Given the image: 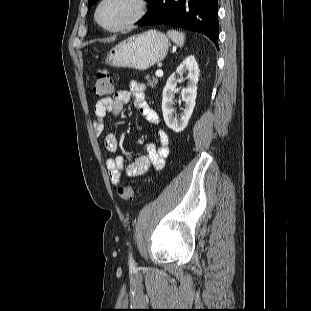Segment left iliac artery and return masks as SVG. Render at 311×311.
Wrapping results in <instances>:
<instances>
[{
  "label": "left iliac artery",
  "mask_w": 311,
  "mask_h": 311,
  "mask_svg": "<svg viewBox=\"0 0 311 311\" xmlns=\"http://www.w3.org/2000/svg\"><path fill=\"white\" fill-rule=\"evenodd\" d=\"M129 264L130 265L134 264V260H133V257H132L131 253H129Z\"/></svg>",
  "instance_id": "44dca946"
}]
</instances>
